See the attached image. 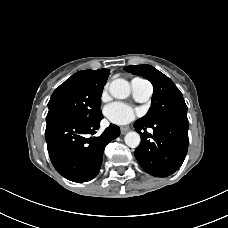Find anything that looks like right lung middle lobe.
Here are the masks:
<instances>
[{"mask_svg":"<svg viewBox=\"0 0 228 228\" xmlns=\"http://www.w3.org/2000/svg\"><path fill=\"white\" fill-rule=\"evenodd\" d=\"M106 82L86 84L71 77L52 94L48 103L47 126L61 120H92L102 114L101 95Z\"/></svg>","mask_w":228,"mask_h":228,"instance_id":"obj_1","label":"right lung middle lobe"}]
</instances>
